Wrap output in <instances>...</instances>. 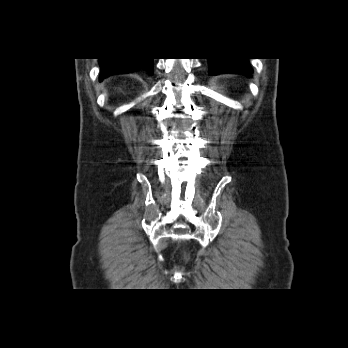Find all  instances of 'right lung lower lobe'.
<instances>
[{
	"instance_id": "right-lung-lower-lobe-1",
	"label": "right lung lower lobe",
	"mask_w": 348,
	"mask_h": 348,
	"mask_svg": "<svg viewBox=\"0 0 348 348\" xmlns=\"http://www.w3.org/2000/svg\"><path fill=\"white\" fill-rule=\"evenodd\" d=\"M99 62L101 70L100 81L111 75L132 72L139 66L146 68L149 73L153 72L152 58H105L99 59Z\"/></svg>"
}]
</instances>
